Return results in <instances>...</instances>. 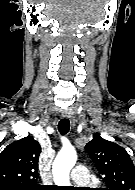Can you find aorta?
Here are the masks:
<instances>
[{
	"instance_id": "1",
	"label": "aorta",
	"mask_w": 135,
	"mask_h": 190,
	"mask_svg": "<svg viewBox=\"0 0 135 190\" xmlns=\"http://www.w3.org/2000/svg\"><path fill=\"white\" fill-rule=\"evenodd\" d=\"M77 154L72 148L62 149L56 156L52 172L58 186H70L69 173L76 164Z\"/></svg>"
}]
</instances>
